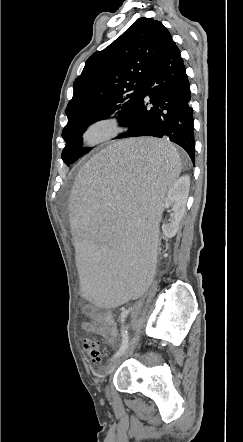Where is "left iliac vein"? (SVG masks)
<instances>
[{"label":"left iliac vein","instance_id":"obj_1","mask_svg":"<svg viewBox=\"0 0 243 442\" xmlns=\"http://www.w3.org/2000/svg\"><path fill=\"white\" fill-rule=\"evenodd\" d=\"M138 339H139V334L137 333L132 340L130 341L129 345L127 346L126 350L118 357L114 358L108 365L107 367V373L111 374L113 373L116 368L119 366V364L122 362V360L124 358H126L129 354H131V352L133 351V349L136 347L137 343H138ZM106 394L107 396L110 395V391L109 388L106 387Z\"/></svg>","mask_w":243,"mask_h":442}]
</instances>
